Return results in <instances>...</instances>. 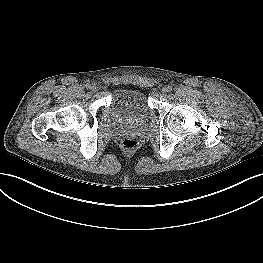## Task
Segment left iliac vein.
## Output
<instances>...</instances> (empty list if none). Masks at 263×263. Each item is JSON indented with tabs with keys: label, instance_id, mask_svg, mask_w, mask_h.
<instances>
[{
	"label": "left iliac vein",
	"instance_id": "obj_1",
	"mask_svg": "<svg viewBox=\"0 0 263 263\" xmlns=\"http://www.w3.org/2000/svg\"><path fill=\"white\" fill-rule=\"evenodd\" d=\"M168 92H169V91H168L167 87H163V88H162V94H163V95H166Z\"/></svg>",
	"mask_w": 263,
	"mask_h": 263
}]
</instances>
